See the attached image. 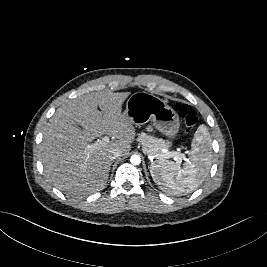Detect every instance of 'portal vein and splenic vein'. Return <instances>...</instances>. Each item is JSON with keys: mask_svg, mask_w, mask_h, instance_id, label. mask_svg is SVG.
<instances>
[{"mask_svg": "<svg viewBox=\"0 0 267 267\" xmlns=\"http://www.w3.org/2000/svg\"><path fill=\"white\" fill-rule=\"evenodd\" d=\"M109 142V137L104 136L102 140H97V142L88 145L87 149L97 148L99 145L107 144ZM161 158H174L177 162H181L183 159L186 160L185 155L176 152V151H169L165 154L160 155Z\"/></svg>", "mask_w": 267, "mask_h": 267, "instance_id": "obj_1", "label": "portal vein and splenic vein"}]
</instances>
